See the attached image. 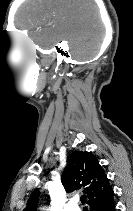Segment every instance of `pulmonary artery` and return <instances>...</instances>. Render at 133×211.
<instances>
[{
    "mask_svg": "<svg viewBox=\"0 0 133 211\" xmlns=\"http://www.w3.org/2000/svg\"><path fill=\"white\" fill-rule=\"evenodd\" d=\"M64 211H81L77 205L76 199H71L64 208Z\"/></svg>",
    "mask_w": 133,
    "mask_h": 211,
    "instance_id": "e3ab8cb5",
    "label": "pulmonary artery"
}]
</instances>
